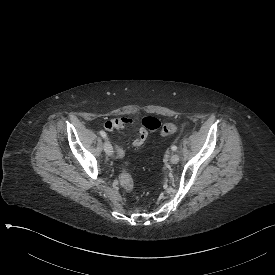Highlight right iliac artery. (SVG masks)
Returning <instances> with one entry per match:
<instances>
[{
  "mask_svg": "<svg viewBox=\"0 0 275 275\" xmlns=\"http://www.w3.org/2000/svg\"><path fill=\"white\" fill-rule=\"evenodd\" d=\"M99 133L104 139H107V134L104 131L101 130Z\"/></svg>",
  "mask_w": 275,
  "mask_h": 275,
  "instance_id": "82829eb1",
  "label": "right iliac artery"
}]
</instances>
